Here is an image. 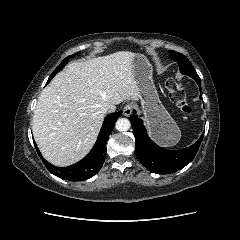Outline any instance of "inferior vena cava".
Masks as SVG:
<instances>
[{"label": "inferior vena cava", "instance_id": "inferior-vena-cava-1", "mask_svg": "<svg viewBox=\"0 0 240 240\" xmlns=\"http://www.w3.org/2000/svg\"><path fill=\"white\" fill-rule=\"evenodd\" d=\"M114 111H115V107H105L102 110L103 113L114 112Z\"/></svg>", "mask_w": 240, "mask_h": 240}]
</instances>
